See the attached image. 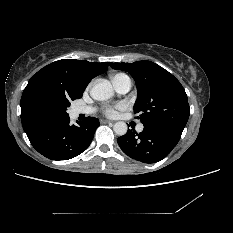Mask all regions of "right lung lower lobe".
I'll return each mask as SVG.
<instances>
[{"label":"right lung lower lobe","instance_id":"1","mask_svg":"<svg viewBox=\"0 0 233 233\" xmlns=\"http://www.w3.org/2000/svg\"><path fill=\"white\" fill-rule=\"evenodd\" d=\"M69 123L68 117L45 127L28 138L40 154L51 160L71 159L89 147L100 123L94 117H87L77 122L78 126Z\"/></svg>","mask_w":233,"mask_h":233}]
</instances>
